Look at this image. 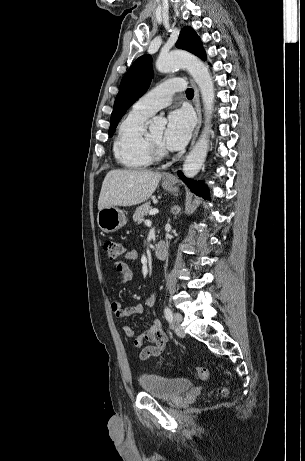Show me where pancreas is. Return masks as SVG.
I'll use <instances>...</instances> for the list:
<instances>
[{"label": "pancreas", "instance_id": "pancreas-1", "mask_svg": "<svg viewBox=\"0 0 305 461\" xmlns=\"http://www.w3.org/2000/svg\"><path fill=\"white\" fill-rule=\"evenodd\" d=\"M152 209L151 203L147 202L137 207L133 214V220L137 224H140L144 221V217L148 215L149 211Z\"/></svg>", "mask_w": 305, "mask_h": 461}]
</instances>
